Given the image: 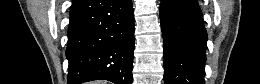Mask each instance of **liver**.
<instances>
[{
    "label": "liver",
    "instance_id": "6515ba94",
    "mask_svg": "<svg viewBox=\"0 0 260 84\" xmlns=\"http://www.w3.org/2000/svg\"><path fill=\"white\" fill-rule=\"evenodd\" d=\"M92 84H106L104 81H95Z\"/></svg>",
    "mask_w": 260,
    "mask_h": 84
}]
</instances>
